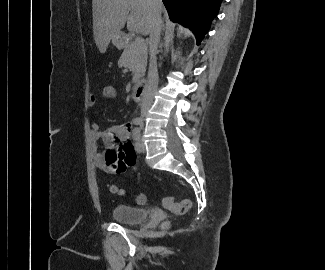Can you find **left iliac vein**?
<instances>
[{
  "mask_svg": "<svg viewBox=\"0 0 325 270\" xmlns=\"http://www.w3.org/2000/svg\"><path fill=\"white\" fill-rule=\"evenodd\" d=\"M145 151H146L145 144H144L143 140L140 139V147H139V149H138V152H140V153H144Z\"/></svg>",
  "mask_w": 325,
  "mask_h": 270,
  "instance_id": "4c4485c4",
  "label": "left iliac vein"
}]
</instances>
